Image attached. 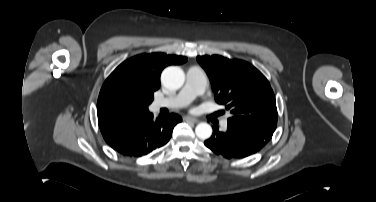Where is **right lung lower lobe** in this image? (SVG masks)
Listing matches in <instances>:
<instances>
[{
	"mask_svg": "<svg viewBox=\"0 0 376 202\" xmlns=\"http://www.w3.org/2000/svg\"><path fill=\"white\" fill-rule=\"evenodd\" d=\"M179 122L181 117L177 114L154 119L148 111L100 130L107 144L114 150L125 156L140 157L165 145Z\"/></svg>",
	"mask_w": 376,
	"mask_h": 202,
	"instance_id": "1",
	"label": "right lung lower lobe"
}]
</instances>
